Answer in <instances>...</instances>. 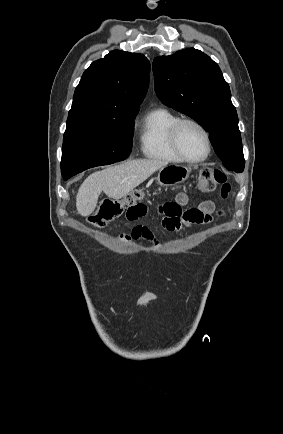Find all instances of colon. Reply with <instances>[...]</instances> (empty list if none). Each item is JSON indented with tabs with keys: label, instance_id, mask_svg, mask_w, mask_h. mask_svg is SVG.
<instances>
[{
	"label": "colon",
	"instance_id": "colon-1",
	"mask_svg": "<svg viewBox=\"0 0 283 434\" xmlns=\"http://www.w3.org/2000/svg\"><path fill=\"white\" fill-rule=\"evenodd\" d=\"M201 187L206 191H213L220 187L221 196L227 197L230 192V184L226 175L218 169L204 168L200 173ZM144 197L141 189L134 190L122 199H104L97 211L88 218L91 225L103 227L110 221L118 218L122 213L139 202Z\"/></svg>",
	"mask_w": 283,
	"mask_h": 434
}]
</instances>
